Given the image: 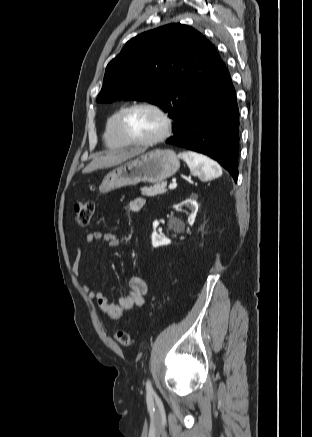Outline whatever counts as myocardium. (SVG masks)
Here are the masks:
<instances>
[{
    "label": "myocardium",
    "mask_w": 312,
    "mask_h": 437,
    "mask_svg": "<svg viewBox=\"0 0 312 437\" xmlns=\"http://www.w3.org/2000/svg\"><path fill=\"white\" fill-rule=\"evenodd\" d=\"M138 108H148L153 110L155 113H157L161 119L163 120V130L162 132L157 135L154 138L148 139V140H138L133 138L126 129V119L129 116V114ZM117 128L120 136L124 139L126 143L129 145H135V146H152L159 144L163 141H165L171 134L172 131V120L169 117V115L157 104L152 102H137L133 103L126 108L122 110V112L119 115L118 122H117Z\"/></svg>",
    "instance_id": "obj_1"
}]
</instances>
